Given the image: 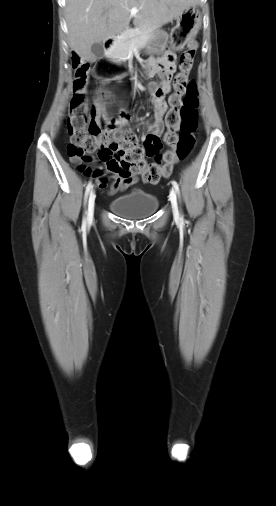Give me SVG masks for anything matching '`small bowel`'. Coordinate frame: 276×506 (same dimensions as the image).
<instances>
[{"instance_id":"obj_1","label":"small bowel","mask_w":276,"mask_h":506,"mask_svg":"<svg viewBox=\"0 0 276 506\" xmlns=\"http://www.w3.org/2000/svg\"><path fill=\"white\" fill-rule=\"evenodd\" d=\"M175 70L174 55L172 53H165L159 58H151L145 63L144 72L145 75L152 77H159L158 82L151 84V90L154 92L157 89L162 91L160 96L154 97V118L152 123L148 127L147 134H154L160 136L164 130L163 117L167 111V104L164 101V96L171 91V76ZM75 91H78L77 86L74 83L73 86ZM120 127H125L126 122L121 120L119 122ZM146 134V135H147ZM146 135H143V139ZM153 153L151 156H153ZM113 182L110 186L109 193L114 194L118 191L128 189L137 183L138 178L132 175L128 171L124 170L121 161L118 158L109 159L105 165L102 173L96 176V183L100 189H106L108 187L109 180Z\"/></svg>"}]
</instances>
